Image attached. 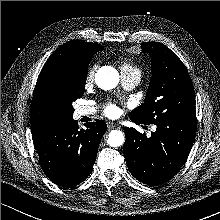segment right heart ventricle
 I'll list each match as a JSON object with an SVG mask.
<instances>
[{"mask_svg": "<svg viewBox=\"0 0 220 220\" xmlns=\"http://www.w3.org/2000/svg\"><path fill=\"white\" fill-rule=\"evenodd\" d=\"M120 68H121V71L124 73H133V72L140 73L139 69L137 67L133 66L127 60L121 61Z\"/></svg>", "mask_w": 220, "mask_h": 220, "instance_id": "1", "label": "right heart ventricle"}]
</instances>
